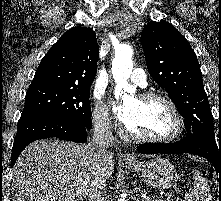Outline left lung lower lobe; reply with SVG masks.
<instances>
[{"label": "left lung lower lobe", "mask_w": 221, "mask_h": 201, "mask_svg": "<svg viewBox=\"0 0 221 201\" xmlns=\"http://www.w3.org/2000/svg\"><path fill=\"white\" fill-rule=\"evenodd\" d=\"M138 151L145 154L190 153L208 159L221 177V145L202 133H192L186 139L168 144H141Z\"/></svg>", "instance_id": "1"}]
</instances>
